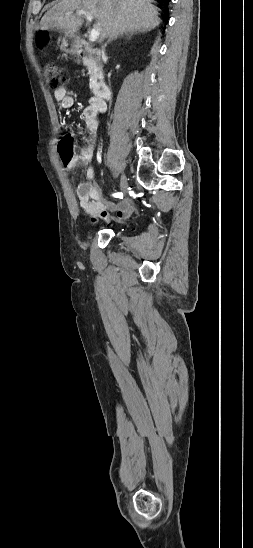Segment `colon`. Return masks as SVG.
<instances>
[{
    "label": "colon",
    "mask_w": 253,
    "mask_h": 548,
    "mask_svg": "<svg viewBox=\"0 0 253 548\" xmlns=\"http://www.w3.org/2000/svg\"><path fill=\"white\" fill-rule=\"evenodd\" d=\"M44 75L50 89L56 91L64 87L68 82V73L64 67L55 63H49L44 68ZM59 154L62 160L68 162L73 157L74 141L70 135H65L59 142Z\"/></svg>",
    "instance_id": "1"
}]
</instances>
